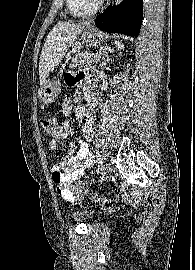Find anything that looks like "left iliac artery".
<instances>
[{"instance_id": "left-iliac-artery-1", "label": "left iliac artery", "mask_w": 195, "mask_h": 270, "mask_svg": "<svg viewBox=\"0 0 195 270\" xmlns=\"http://www.w3.org/2000/svg\"><path fill=\"white\" fill-rule=\"evenodd\" d=\"M102 170V162L98 165V168L96 170L97 173H99Z\"/></svg>"}]
</instances>
